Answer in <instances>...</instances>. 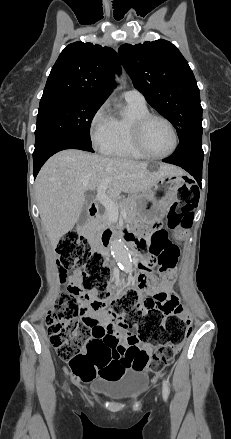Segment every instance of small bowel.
Wrapping results in <instances>:
<instances>
[{"label":"small bowel","mask_w":231,"mask_h":439,"mask_svg":"<svg viewBox=\"0 0 231 439\" xmlns=\"http://www.w3.org/2000/svg\"><path fill=\"white\" fill-rule=\"evenodd\" d=\"M131 240L137 243L138 249H143L145 243L136 241L133 233L129 234ZM148 245V259H143L142 264L149 265L152 260L156 259L161 252L176 248L170 240L168 233L164 229H159L151 233ZM175 280L173 267L166 272V275L160 280L152 279L156 285L154 291H149L145 301L144 312L153 307L162 309H171L178 302V296L173 291ZM82 277L80 273H74L72 276L69 291H78V297L83 303L80 316L83 321L88 323L92 332L91 344H104L120 354L121 359H126L129 353L133 351L148 352V348L143 345L138 336L128 331V327L119 319H116L105 307L93 306V297L90 293L81 290ZM121 292V286L116 282L113 285L112 295L116 296ZM128 368H133L132 364Z\"/></svg>","instance_id":"c3829d8e"}]
</instances>
